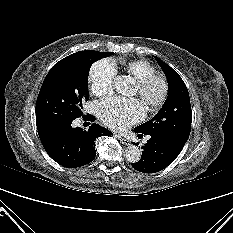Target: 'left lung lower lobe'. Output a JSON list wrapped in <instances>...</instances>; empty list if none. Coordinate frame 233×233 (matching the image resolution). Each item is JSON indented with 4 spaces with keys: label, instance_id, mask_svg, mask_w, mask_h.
<instances>
[{
    "label": "left lung lower lobe",
    "instance_id": "left-lung-lower-lobe-1",
    "mask_svg": "<svg viewBox=\"0 0 233 233\" xmlns=\"http://www.w3.org/2000/svg\"><path fill=\"white\" fill-rule=\"evenodd\" d=\"M148 135H150V139L145 146H142L143 151L141 159L133 163L132 166L135 170L140 172L156 173L170 165L179 155L182 148L171 143L161 135Z\"/></svg>",
    "mask_w": 233,
    "mask_h": 233
}]
</instances>
